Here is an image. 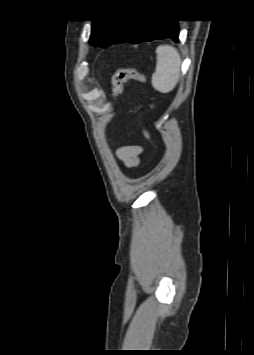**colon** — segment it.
<instances>
[{
  "mask_svg": "<svg viewBox=\"0 0 254 355\" xmlns=\"http://www.w3.org/2000/svg\"><path fill=\"white\" fill-rule=\"evenodd\" d=\"M129 80H135L142 83L146 81L144 75L134 69L123 68L116 70L112 77L111 88V94L114 98H118L122 94L124 84ZM152 108L153 104L151 103L150 109ZM144 136L148 141L152 142L151 133L147 128L144 130Z\"/></svg>",
  "mask_w": 254,
  "mask_h": 355,
  "instance_id": "1",
  "label": "colon"
}]
</instances>
